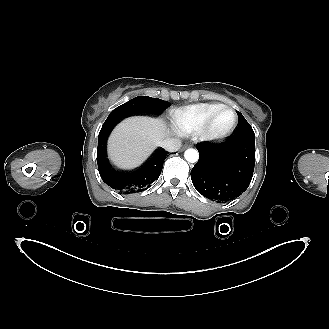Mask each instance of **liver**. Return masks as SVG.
<instances>
[{
    "label": "liver",
    "instance_id": "1",
    "mask_svg": "<svg viewBox=\"0 0 329 329\" xmlns=\"http://www.w3.org/2000/svg\"><path fill=\"white\" fill-rule=\"evenodd\" d=\"M168 136L162 119L146 116L127 118L112 131L108 141L111 161L121 169L140 165Z\"/></svg>",
    "mask_w": 329,
    "mask_h": 329
}]
</instances>
